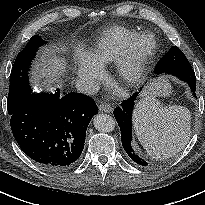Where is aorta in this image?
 <instances>
[{"mask_svg": "<svg viewBox=\"0 0 205 205\" xmlns=\"http://www.w3.org/2000/svg\"><path fill=\"white\" fill-rule=\"evenodd\" d=\"M93 124L96 130L107 133L114 130L116 122L110 115L99 114L95 116Z\"/></svg>", "mask_w": 205, "mask_h": 205, "instance_id": "1", "label": "aorta"}]
</instances>
